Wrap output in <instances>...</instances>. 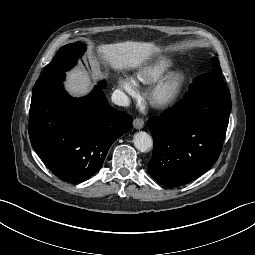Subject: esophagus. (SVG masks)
<instances>
[{
    "mask_svg": "<svg viewBox=\"0 0 255 255\" xmlns=\"http://www.w3.org/2000/svg\"><path fill=\"white\" fill-rule=\"evenodd\" d=\"M133 126L136 129H141L144 127V120L142 118H135L133 121Z\"/></svg>",
    "mask_w": 255,
    "mask_h": 255,
    "instance_id": "34e87169",
    "label": "esophagus"
}]
</instances>
